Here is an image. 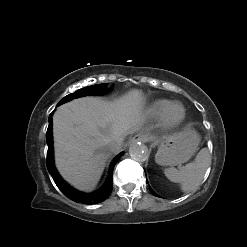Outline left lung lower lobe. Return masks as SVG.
Instances as JSON below:
<instances>
[{
	"label": "left lung lower lobe",
	"mask_w": 247,
	"mask_h": 247,
	"mask_svg": "<svg viewBox=\"0 0 247 247\" xmlns=\"http://www.w3.org/2000/svg\"><path fill=\"white\" fill-rule=\"evenodd\" d=\"M148 183V182H147ZM150 192L155 195V196H158L151 188H150Z\"/></svg>",
	"instance_id": "obj_1"
}]
</instances>
